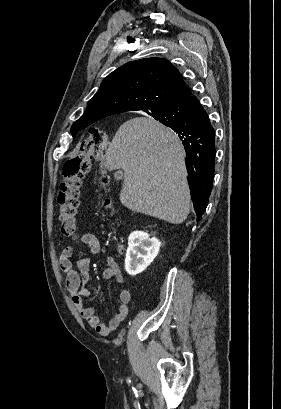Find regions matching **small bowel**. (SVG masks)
Masks as SVG:
<instances>
[{
    "label": "small bowel",
    "instance_id": "c3829d8e",
    "mask_svg": "<svg viewBox=\"0 0 281 409\" xmlns=\"http://www.w3.org/2000/svg\"><path fill=\"white\" fill-rule=\"evenodd\" d=\"M61 230L65 236L74 238L87 246L92 254H98L100 252V242L94 234L77 233V221L75 219L64 221ZM73 255L74 248L72 246H67L62 250L59 257L60 268L66 274V288L71 295L72 303L92 328L101 335H108L126 318L129 311L131 293L126 288L120 290L118 296L119 306L115 314L108 323H102L96 315L93 307L84 306L85 299L89 298L91 295L90 290L86 287V284L90 280V260L88 258L79 259L76 262V270L72 262ZM102 276L105 279L112 278L117 283L124 282V276L120 267L111 256L106 258V268L103 270Z\"/></svg>",
    "mask_w": 281,
    "mask_h": 409
}]
</instances>
